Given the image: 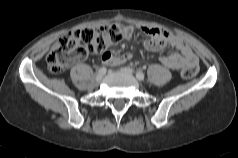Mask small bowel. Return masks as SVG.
Segmentation results:
<instances>
[{
  "mask_svg": "<svg viewBox=\"0 0 238 158\" xmlns=\"http://www.w3.org/2000/svg\"><path fill=\"white\" fill-rule=\"evenodd\" d=\"M141 31L146 35L143 45L151 51H161L167 45L174 47L178 52L162 55L159 61L162 65L171 69H180L190 65L198 64V59L188 44L173 33L157 28L142 26ZM130 53L115 55L109 51L102 54V61L109 66H117L126 63L131 59Z\"/></svg>",
  "mask_w": 238,
  "mask_h": 158,
  "instance_id": "small-bowel-1",
  "label": "small bowel"
}]
</instances>
